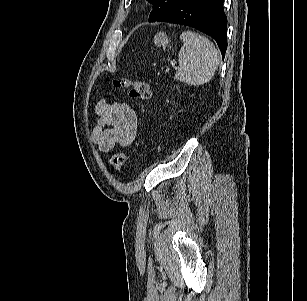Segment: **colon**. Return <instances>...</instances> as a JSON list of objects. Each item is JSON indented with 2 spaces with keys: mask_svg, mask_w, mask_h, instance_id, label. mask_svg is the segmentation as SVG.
<instances>
[{
  "mask_svg": "<svg viewBox=\"0 0 307 301\" xmlns=\"http://www.w3.org/2000/svg\"><path fill=\"white\" fill-rule=\"evenodd\" d=\"M114 85L119 88L129 89V96L132 99L148 100L151 98V89L148 82L140 79L132 80L128 78L115 79ZM127 161L125 152H120L110 159V164L115 170L121 169Z\"/></svg>",
  "mask_w": 307,
  "mask_h": 301,
  "instance_id": "1",
  "label": "colon"
}]
</instances>
